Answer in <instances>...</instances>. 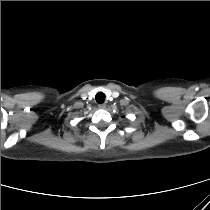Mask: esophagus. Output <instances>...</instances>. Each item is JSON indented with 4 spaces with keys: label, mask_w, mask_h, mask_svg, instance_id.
Wrapping results in <instances>:
<instances>
[{
    "label": "esophagus",
    "mask_w": 210,
    "mask_h": 210,
    "mask_svg": "<svg viewBox=\"0 0 210 210\" xmlns=\"http://www.w3.org/2000/svg\"><path fill=\"white\" fill-rule=\"evenodd\" d=\"M98 107H99L100 109H105V108H106V104H104V103H103V104H99Z\"/></svg>",
    "instance_id": "34e87169"
}]
</instances>
